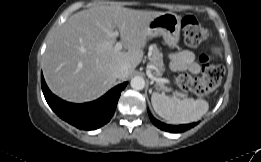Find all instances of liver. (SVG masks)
Here are the masks:
<instances>
[{
    "instance_id": "liver-1",
    "label": "liver",
    "mask_w": 261,
    "mask_h": 162,
    "mask_svg": "<svg viewBox=\"0 0 261 162\" xmlns=\"http://www.w3.org/2000/svg\"><path fill=\"white\" fill-rule=\"evenodd\" d=\"M164 12L100 5L70 16L50 38L42 60L51 91L71 102H87L116 82L114 68L128 67L127 78L143 59L148 23ZM117 28L127 52L114 49Z\"/></svg>"
}]
</instances>
